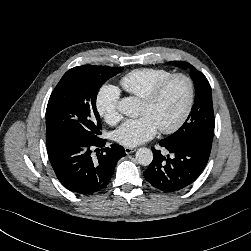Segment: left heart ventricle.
<instances>
[{"mask_svg":"<svg viewBox=\"0 0 251 251\" xmlns=\"http://www.w3.org/2000/svg\"><path fill=\"white\" fill-rule=\"evenodd\" d=\"M187 86L183 80L174 81L152 106L142 104L141 115H149L157 127L170 126L177 121L187 101Z\"/></svg>","mask_w":251,"mask_h":251,"instance_id":"1","label":"left heart ventricle"}]
</instances>
